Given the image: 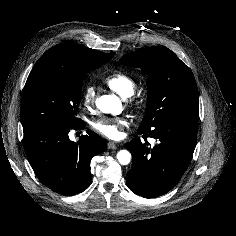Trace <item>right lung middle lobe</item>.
Segmentation results:
<instances>
[{
  "mask_svg": "<svg viewBox=\"0 0 236 236\" xmlns=\"http://www.w3.org/2000/svg\"><path fill=\"white\" fill-rule=\"evenodd\" d=\"M110 59L68 63L51 59L38 60L26 81L21 101V122H57L77 126L85 73Z\"/></svg>",
  "mask_w": 236,
  "mask_h": 236,
  "instance_id": "1",
  "label": "right lung middle lobe"
}]
</instances>
